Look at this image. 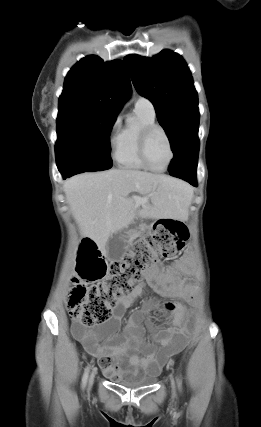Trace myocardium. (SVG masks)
<instances>
[{"label":"myocardium","instance_id":"myocardium-1","mask_svg":"<svg viewBox=\"0 0 261 427\" xmlns=\"http://www.w3.org/2000/svg\"><path fill=\"white\" fill-rule=\"evenodd\" d=\"M155 132H161L164 135V137L168 143V147H169V151H170V157H169L167 164L163 168H160V169L155 168L154 166L151 165V163L149 162V159H148V155H147V148H148L149 140ZM138 153H139L140 160L147 167V169L154 171V172L166 171L169 168V166L171 165V163L173 162V159L175 156L173 144H172V141H171L169 134L167 133V131L163 127H161L157 124L149 125V126H146V127L141 129L140 134H139V139H138Z\"/></svg>","mask_w":261,"mask_h":427}]
</instances>
